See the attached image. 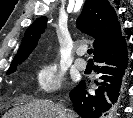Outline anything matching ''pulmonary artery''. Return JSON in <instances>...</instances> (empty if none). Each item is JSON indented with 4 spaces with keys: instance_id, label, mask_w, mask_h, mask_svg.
Listing matches in <instances>:
<instances>
[{
    "instance_id": "obj_1",
    "label": "pulmonary artery",
    "mask_w": 133,
    "mask_h": 118,
    "mask_svg": "<svg viewBox=\"0 0 133 118\" xmlns=\"http://www.w3.org/2000/svg\"><path fill=\"white\" fill-rule=\"evenodd\" d=\"M86 49L80 48L78 50L79 55H83L85 53ZM75 65L79 70H85L87 67V62L83 58H78L75 61Z\"/></svg>"
}]
</instances>
